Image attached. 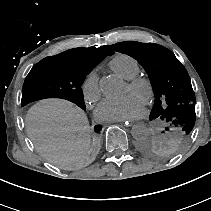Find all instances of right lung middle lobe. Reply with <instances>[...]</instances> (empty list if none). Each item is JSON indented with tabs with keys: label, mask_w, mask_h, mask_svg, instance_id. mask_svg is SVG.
Returning a JSON list of instances; mask_svg holds the SVG:
<instances>
[{
	"label": "right lung middle lobe",
	"mask_w": 211,
	"mask_h": 211,
	"mask_svg": "<svg viewBox=\"0 0 211 211\" xmlns=\"http://www.w3.org/2000/svg\"><path fill=\"white\" fill-rule=\"evenodd\" d=\"M101 61L61 55L44 58L31 69L24 81L21 105L45 98H62L85 110L81 85ZM101 128L95 126V132Z\"/></svg>",
	"instance_id": "right-lung-middle-lobe-1"
}]
</instances>
